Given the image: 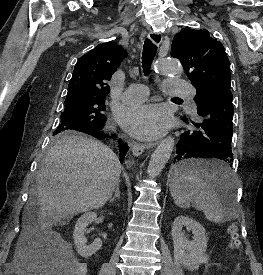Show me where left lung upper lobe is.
<instances>
[{
	"mask_svg": "<svg viewBox=\"0 0 263 275\" xmlns=\"http://www.w3.org/2000/svg\"><path fill=\"white\" fill-rule=\"evenodd\" d=\"M171 56L181 61L196 88L197 104L219 90L231 89L225 49L207 30L182 29L173 39Z\"/></svg>",
	"mask_w": 263,
	"mask_h": 275,
	"instance_id": "obj_1",
	"label": "left lung upper lobe"
}]
</instances>
